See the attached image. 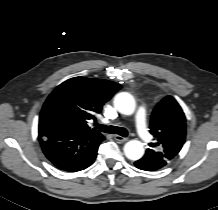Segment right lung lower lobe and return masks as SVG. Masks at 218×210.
<instances>
[{
	"mask_svg": "<svg viewBox=\"0 0 218 210\" xmlns=\"http://www.w3.org/2000/svg\"><path fill=\"white\" fill-rule=\"evenodd\" d=\"M45 156L59 169L77 172L89 167L97 156L102 134L77 133L69 130L44 128L38 131Z\"/></svg>",
	"mask_w": 218,
	"mask_h": 210,
	"instance_id": "obj_1",
	"label": "right lung lower lobe"
}]
</instances>
